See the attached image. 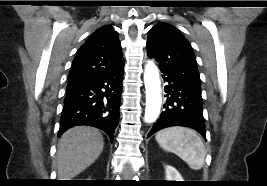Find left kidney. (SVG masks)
Listing matches in <instances>:
<instances>
[{
  "label": "left kidney",
  "mask_w": 267,
  "mask_h": 186,
  "mask_svg": "<svg viewBox=\"0 0 267 186\" xmlns=\"http://www.w3.org/2000/svg\"><path fill=\"white\" fill-rule=\"evenodd\" d=\"M166 181H183L180 173L172 166H166Z\"/></svg>",
  "instance_id": "left-kidney-1"
}]
</instances>
